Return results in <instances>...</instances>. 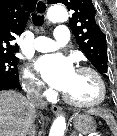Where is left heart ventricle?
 Masks as SVG:
<instances>
[{
  "instance_id": "b2bd125f",
  "label": "left heart ventricle",
  "mask_w": 117,
  "mask_h": 136,
  "mask_svg": "<svg viewBox=\"0 0 117 136\" xmlns=\"http://www.w3.org/2000/svg\"><path fill=\"white\" fill-rule=\"evenodd\" d=\"M65 93L76 101L90 102L97 99L99 87L92 74L76 71Z\"/></svg>"
}]
</instances>
